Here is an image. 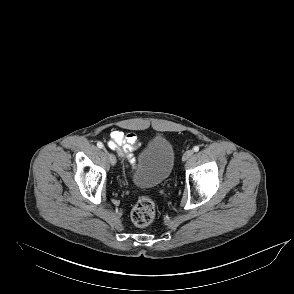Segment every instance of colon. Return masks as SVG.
Instances as JSON below:
<instances>
[{"mask_svg":"<svg viewBox=\"0 0 294 294\" xmlns=\"http://www.w3.org/2000/svg\"><path fill=\"white\" fill-rule=\"evenodd\" d=\"M155 217V204L148 196H142L134 205L131 212V219L138 227H146Z\"/></svg>","mask_w":294,"mask_h":294,"instance_id":"colon-1","label":"colon"}]
</instances>
